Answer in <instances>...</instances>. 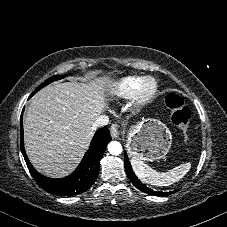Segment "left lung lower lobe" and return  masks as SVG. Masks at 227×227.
<instances>
[{
    "mask_svg": "<svg viewBox=\"0 0 227 227\" xmlns=\"http://www.w3.org/2000/svg\"><path fill=\"white\" fill-rule=\"evenodd\" d=\"M124 158H125L124 163H125L126 173L130 181L136 188H138L139 190L147 194L155 195V196H167L169 194H172V192H155L152 189L148 188L145 184H142V182L134 174L126 152L124 153Z\"/></svg>",
    "mask_w": 227,
    "mask_h": 227,
    "instance_id": "left-lung-lower-lobe-1",
    "label": "left lung lower lobe"
}]
</instances>
